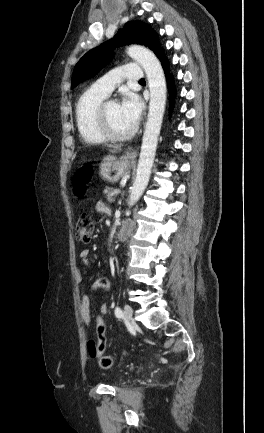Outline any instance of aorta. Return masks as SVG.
Returning <instances> with one entry per match:
<instances>
[{
  "label": "aorta",
  "instance_id": "obj_1",
  "mask_svg": "<svg viewBox=\"0 0 264 433\" xmlns=\"http://www.w3.org/2000/svg\"><path fill=\"white\" fill-rule=\"evenodd\" d=\"M127 54L144 69L150 90L149 112L142 138L136 178L128 202L131 207L142 196L150 179L165 111L167 89L162 66L153 52L145 47L133 45L127 49Z\"/></svg>",
  "mask_w": 264,
  "mask_h": 433
}]
</instances>
